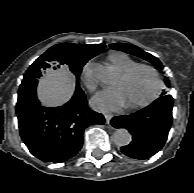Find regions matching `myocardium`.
I'll use <instances>...</instances> for the list:
<instances>
[{"instance_id":"1","label":"myocardium","mask_w":194,"mask_h":193,"mask_svg":"<svg viewBox=\"0 0 194 193\" xmlns=\"http://www.w3.org/2000/svg\"><path fill=\"white\" fill-rule=\"evenodd\" d=\"M140 69H145V70H148L152 73L153 78H154V86H153V89H152L150 95L146 99H144L143 101H140L138 103H135V104L126 105V108L129 110H134V109H138V108L145 107V106L149 105L157 97V95L160 91V88H161V79H160L159 72L157 71V69L155 67L148 65V64H136L133 67L129 68L128 70L122 72L121 77L123 79H128L136 71H138Z\"/></svg>"}]
</instances>
